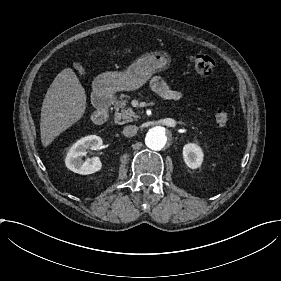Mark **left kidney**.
Here are the masks:
<instances>
[{
    "label": "left kidney",
    "mask_w": 281,
    "mask_h": 281,
    "mask_svg": "<svg viewBox=\"0 0 281 281\" xmlns=\"http://www.w3.org/2000/svg\"><path fill=\"white\" fill-rule=\"evenodd\" d=\"M183 157L185 163L191 168H197L202 162V152L193 144L184 147Z\"/></svg>",
    "instance_id": "5707ae66"
}]
</instances>
